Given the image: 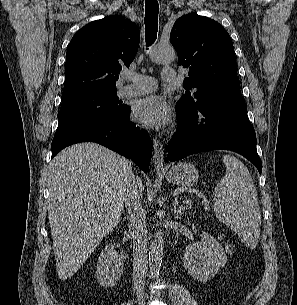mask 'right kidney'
Wrapping results in <instances>:
<instances>
[{"label":"right kidney","mask_w":297,"mask_h":305,"mask_svg":"<svg viewBox=\"0 0 297 305\" xmlns=\"http://www.w3.org/2000/svg\"><path fill=\"white\" fill-rule=\"evenodd\" d=\"M123 271V260L112 244L107 245L101 252L96 269L99 284L106 288L114 287Z\"/></svg>","instance_id":"obj_1"}]
</instances>
